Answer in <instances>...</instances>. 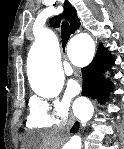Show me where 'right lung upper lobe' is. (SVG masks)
Masks as SVG:
<instances>
[{
  "label": "right lung upper lobe",
  "instance_id": "right-lung-upper-lobe-1",
  "mask_svg": "<svg viewBox=\"0 0 124 149\" xmlns=\"http://www.w3.org/2000/svg\"><path fill=\"white\" fill-rule=\"evenodd\" d=\"M62 17H65L70 22L72 33H74L80 27V20L76 15V11L67 0L64 4L63 14L60 16L53 17L51 19V25L53 27H58Z\"/></svg>",
  "mask_w": 124,
  "mask_h": 149
}]
</instances>
